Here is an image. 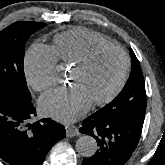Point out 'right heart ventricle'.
I'll return each mask as SVG.
<instances>
[{"instance_id": "e07e8e85", "label": "right heart ventricle", "mask_w": 165, "mask_h": 165, "mask_svg": "<svg viewBox=\"0 0 165 165\" xmlns=\"http://www.w3.org/2000/svg\"><path fill=\"white\" fill-rule=\"evenodd\" d=\"M110 43L98 33L86 28H73L54 37L53 50L61 62L74 66L93 47Z\"/></svg>"}]
</instances>
